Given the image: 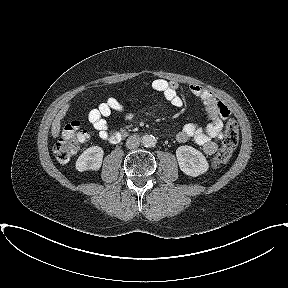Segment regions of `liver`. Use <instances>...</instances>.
Returning <instances> with one entry per match:
<instances>
[{"label":"liver","instance_id":"liver-1","mask_svg":"<svg viewBox=\"0 0 288 288\" xmlns=\"http://www.w3.org/2000/svg\"><path fill=\"white\" fill-rule=\"evenodd\" d=\"M69 109V105L66 104L62 107V109L57 113L55 116V119L52 122V127H51V134L53 138H57L59 136L60 128H61V120L64 118L66 115V112Z\"/></svg>","mask_w":288,"mask_h":288}]
</instances>
